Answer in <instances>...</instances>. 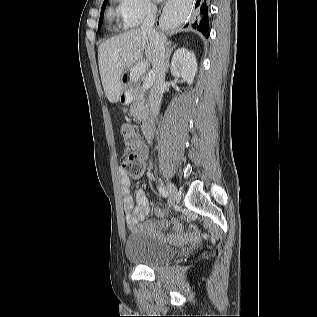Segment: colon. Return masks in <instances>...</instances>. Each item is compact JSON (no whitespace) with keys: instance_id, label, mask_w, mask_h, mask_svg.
I'll return each instance as SVG.
<instances>
[{"instance_id":"colon-1","label":"colon","mask_w":317,"mask_h":317,"mask_svg":"<svg viewBox=\"0 0 317 317\" xmlns=\"http://www.w3.org/2000/svg\"><path fill=\"white\" fill-rule=\"evenodd\" d=\"M122 133L125 141V153L121 160L122 167L129 177L138 178L143 171L140 142L130 127L123 126Z\"/></svg>"}]
</instances>
